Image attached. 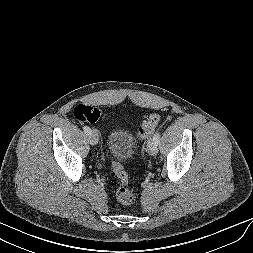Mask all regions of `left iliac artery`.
Here are the masks:
<instances>
[{
  "label": "left iliac artery",
  "mask_w": 253,
  "mask_h": 253,
  "mask_svg": "<svg viewBox=\"0 0 253 253\" xmlns=\"http://www.w3.org/2000/svg\"><path fill=\"white\" fill-rule=\"evenodd\" d=\"M153 140H155L157 143H159V141H160V133L157 132V133L154 135Z\"/></svg>",
  "instance_id": "left-iliac-artery-1"
}]
</instances>
